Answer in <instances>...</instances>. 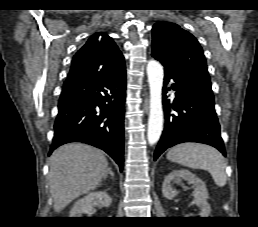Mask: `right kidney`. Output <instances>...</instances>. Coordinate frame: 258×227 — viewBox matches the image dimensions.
Masks as SVG:
<instances>
[{
  "mask_svg": "<svg viewBox=\"0 0 258 227\" xmlns=\"http://www.w3.org/2000/svg\"><path fill=\"white\" fill-rule=\"evenodd\" d=\"M111 203L112 198L106 191L91 192L75 202L70 217H82L83 214L91 213L95 206L109 207Z\"/></svg>",
  "mask_w": 258,
  "mask_h": 227,
  "instance_id": "obj_1",
  "label": "right kidney"
}]
</instances>
